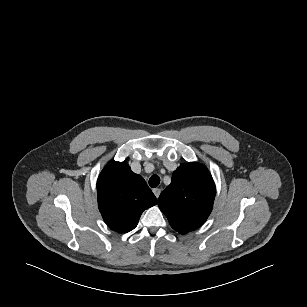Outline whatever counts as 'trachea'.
Returning a JSON list of instances; mask_svg holds the SVG:
<instances>
[{"mask_svg":"<svg viewBox=\"0 0 307 307\" xmlns=\"http://www.w3.org/2000/svg\"><path fill=\"white\" fill-rule=\"evenodd\" d=\"M160 183V177L158 175H152L149 179V185L152 188H155L159 185Z\"/></svg>","mask_w":307,"mask_h":307,"instance_id":"1","label":"trachea"}]
</instances>
